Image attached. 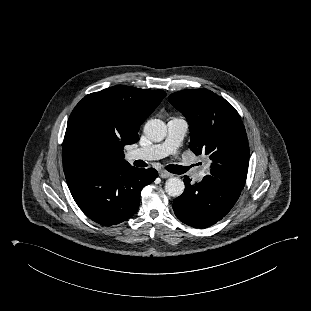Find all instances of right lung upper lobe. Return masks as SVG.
I'll return each instance as SVG.
<instances>
[{
    "instance_id": "1",
    "label": "right lung upper lobe",
    "mask_w": 311,
    "mask_h": 311,
    "mask_svg": "<svg viewBox=\"0 0 311 311\" xmlns=\"http://www.w3.org/2000/svg\"><path fill=\"white\" fill-rule=\"evenodd\" d=\"M166 96L163 90H143L117 85L85 96L72 111L63 142L64 172L70 132L74 124L88 119L106 141L107 163L130 166L124 159L123 147L138 141L140 125Z\"/></svg>"
}]
</instances>
